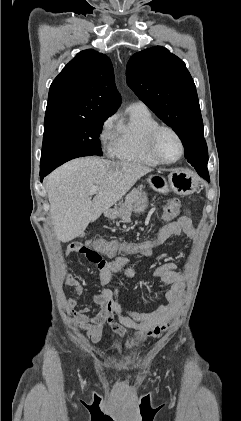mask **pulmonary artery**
<instances>
[{"label": "pulmonary artery", "mask_w": 241, "mask_h": 421, "mask_svg": "<svg viewBox=\"0 0 241 421\" xmlns=\"http://www.w3.org/2000/svg\"><path fill=\"white\" fill-rule=\"evenodd\" d=\"M132 106H144V107H146L142 102H134V103H132Z\"/></svg>", "instance_id": "obj_1"}]
</instances>
